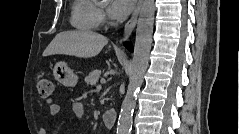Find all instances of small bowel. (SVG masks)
<instances>
[{"mask_svg":"<svg viewBox=\"0 0 239 134\" xmlns=\"http://www.w3.org/2000/svg\"><path fill=\"white\" fill-rule=\"evenodd\" d=\"M71 109L76 117L81 118L84 114V106L80 102H72L71 103ZM61 111V106L59 104H52L49 108V114L51 117H54L58 115ZM40 134H46V131L42 129L40 131Z\"/></svg>","mask_w":239,"mask_h":134,"instance_id":"1","label":"small bowel"}]
</instances>
